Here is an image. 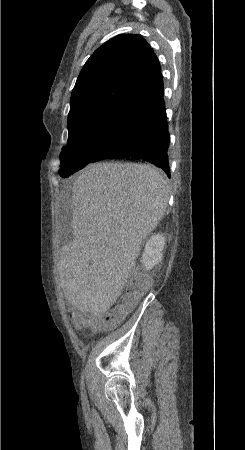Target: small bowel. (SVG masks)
I'll use <instances>...</instances> for the list:
<instances>
[{"instance_id": "c3829d8e", "label": "small bowel", "mask_w": 245, "mask_h": 450, "mask_svg": "<svg viewBox=\"0 0 245 450\" xmlns=\"http://www.w3.org/2000/svg\"><path fill=\"white\" fill-rule=\"evenodd\" d=\"M70 317L73 320L75 327L77 329H80L82 316L79 313H77V312L71 311L70 312Z\"/></svg>"}]
</instances>
